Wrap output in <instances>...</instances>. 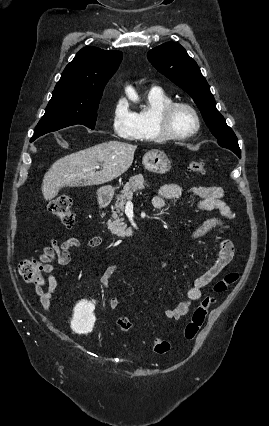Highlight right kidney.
<instances>
[{
  "label": "right kidney",
  "mask_w": 269,
  "mask_h": 426,
  "mask_svg": "<svg viewBox=\"0 0 269 426\" xmlns=\"http://www.w3.org/2000/svg\"><path fill=\"white\" fill-rule=\"evenodd\" d=\"M93 310V305L87 302H81L75 307L71 320V328L75 333L88 334L92 332L95 323Z\"/></svg>",
  "instance_id": "ca27d5eb"
}]
</instances>
